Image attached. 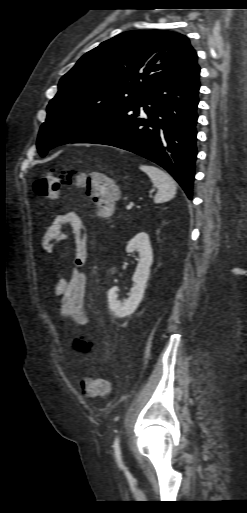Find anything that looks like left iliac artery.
Wrapping results in <instances>:
<instances>
[{
	"mask_svg": "<svg viewBox=\"0 0 247 513\" xmlns=\"http://www.w3.org/2000/svg\"><path fill=\"white\" fill-rule=\"evenodd\" d=\"M113 447H114L115 457H116V460L118 462L119 467L120 468H125L124 464L122 462L121 449H120V444H119V438L118 437L115 438Z\"/></svg>",
	"mask_w": 247,
	"mask_h": 513,
	"instance_id": "obj_1",
	"label": "left iliac artery"
}]
</instances>
